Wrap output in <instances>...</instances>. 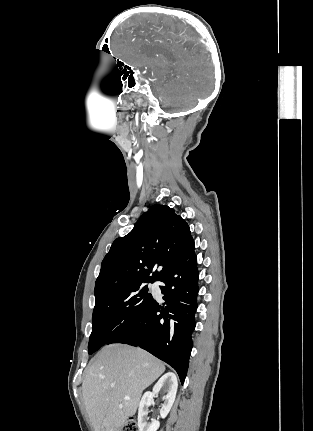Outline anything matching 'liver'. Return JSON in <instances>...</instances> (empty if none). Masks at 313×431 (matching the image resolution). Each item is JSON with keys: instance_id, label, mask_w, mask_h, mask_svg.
<instances>
[{"instance_id": "1", "label": "liver", "mask_w": 313, "mask_h": 431, "mask_svg": "<svg viewBox=\"0 0 313 431\" xmlns=\"http://www.w3.org/2000/svg\"><path fill=\"white\" fill-rule=\"evenodd\" d=\"M164 371L165 365L141 348L125 344L103 347L82 383L94 431H121L128 417L136 413L143 390Z\"/></svg>"}]
</instances>
